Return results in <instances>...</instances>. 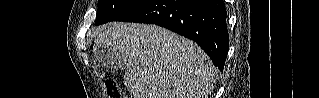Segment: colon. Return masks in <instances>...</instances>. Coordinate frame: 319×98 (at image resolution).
<instances>
[{
  "instance_id": "obj_1",
  "label": "colon",
  "mask_w": 319,
  "mask_h": 98,
  "mask_svg": "<svg viewBox=\"0 0 319 98\" xmlns=\"http://www.w3.org/2000/svg\"><path fill=\"white\" fill-rule=\"evenodd\" d=\"M105 89L108 98H128L119 84L113 79H105Z\"/></svg>"
}]
</instances>
